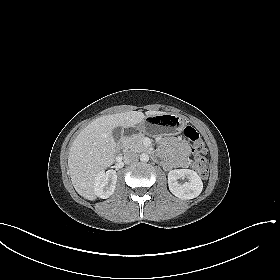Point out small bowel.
I'll return each instance as SVG.
<instances>
[{"mask_svg":"<svg viewBox=\"0 0 280 280\" xmlns=\"http://www.w3.org/2000/svg\"><path fill=\"white\" fill-rule=\"evenodd\" d=\"M164 146L169 154V157L162 161L166 170L182 169L188 166L190 147L185 140L179 139L176 142L166 143Z\"/></svg>","mask_w":280,"mask_h":280,"instance_id":"c3829d8e","label":"small bowel"}]
</instances>
